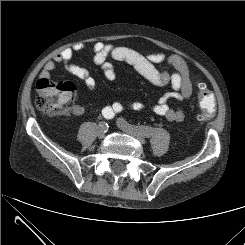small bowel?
I'll return each mask as SVG.
<instances>
[{
  "instance_id": "obj_1",
  "label": "small bowel",
  "mask_w": 245,
  "mask_h": 245,
  "mask_svg": "<svg viewBox=\"0 0 245 245\" xmlns=\"http://www.w3.org/2000/svg\"><path fill=\"white\" fill-rule=\"evenodd\" d=\"M83 45H76L72 48H66L54 56L52 61L47 62L40 73L41 79H51V73L62 65L64 70L73 76L82 79L86 88L95 91L97 84L87 69L73 63L72 58L75 52L84 50ZM94 63L102 69L106 80L114 81L116 79V71L110 58L123 62L131 66L148 82L156 86L171 84L172 92L166 94L151 108L152 112L158 116H162L170 122H181L185 117L182 109H174L169 106L168 102L188 100L193 93V76L186 62L178 55L165 56L162 53L141 54L133 49L115 46L104 42H96L93 44ZM164 64L165 68L159 70L156 65ZM129 108L134 111H141L144 105L140 101H132L129 104L122 102H113L103 108V111L113 118L115 114ZM73 114L81 115L84 113V107L75 105L72 110ZM110 118V119H111Z\"/></svg>"
}]
</instances>
